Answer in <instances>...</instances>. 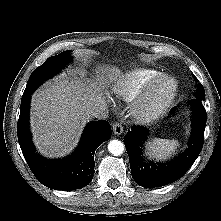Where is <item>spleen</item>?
I'll return each mask as SVG.
<instances>
[{
  "label": "spleen",
  "mask_w": 221,
  "mask_h": 221,
  "mask_svg": "<svg viewBox=\"0 0 221 221\" xmlns=\"http://www.w3.org/2000/svg\"><path fill=\"white\" fill-rule=\"evenodd\" d=\"M151 156L165 160L174 154L179 147L177 140L154 138L147 144Z\"/></svg>",
  "instance_id": "obj_1"
}]
</instances>
